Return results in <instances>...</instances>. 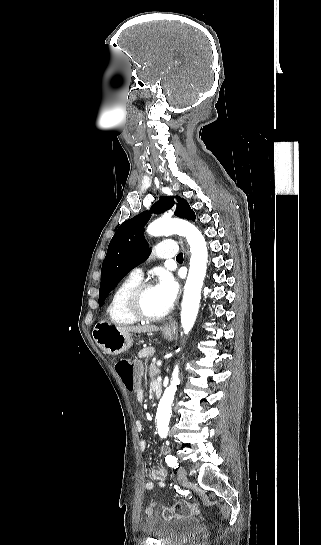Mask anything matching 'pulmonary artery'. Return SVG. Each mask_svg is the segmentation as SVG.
Listing matches in <instances>:
<instances>
[{"label":"pulmonary artery","mask_w":321,"mask_h":545,"mask_svg":"<svg viewBox=\"0 0 321 545\" xmlns=\"http://www.w3.org/2000/svg\"><path fill=\"white\" fill-rule=\"evenodd\" d=\"M155 249L157 252L153 254V257H156L159 261H173L174 257H177L179 254L178 247L172 241H157ZM129 275L141 279L143 277V270L141 267H135L130 271Z\"/></svg>","instance_id":"pulmonary-artery-1"}]
</instances>
